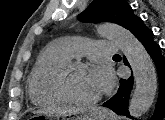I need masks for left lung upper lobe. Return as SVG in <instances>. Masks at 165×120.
<instances>
[{
  "mask_svg": "<svg viewBox=\"0 0 165 120\" xmlns=\"http://www.w3.org/2000/svg\"><path fill=\"white\" fill-rule=\"evenodd\" d=\"M137 16L125 0H94L78 19L82 22L111 21L131 31Z\"/></svg>",
  "mask_w": 165,
  "mask_h": 120,
  "instance_id": "5c2ea615",
  "label": "left lung upper lobe"
}]
</instances>
